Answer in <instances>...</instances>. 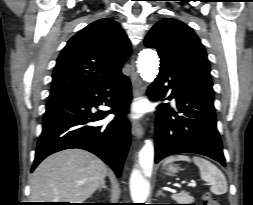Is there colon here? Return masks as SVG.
Instances as JSON below:
<instances>
[{
    "instance_id": "5ec220e1",
    "label": "colon",
    "mask_w": 253,
    "mask_h": 205,
    "mask_svg": "<svg viewBox=\"0 0 253 205\" xmlns=\"http://www.w3.org/2000/svg\"><path fill=\"white\" fill-rule=\"evenodd\" d=\"M203 205H220V203L211 195L206 194L203 198Z\"/></svg>"
}]
</instances>
